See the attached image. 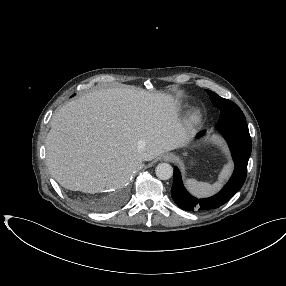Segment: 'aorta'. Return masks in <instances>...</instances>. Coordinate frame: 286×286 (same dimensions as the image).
I'll use <instances>...</instances> for the list:
<instances>
[{
	"instance_id": "1",
	"label": "aorta",
	"mask_w": 286,
	"mask_h": 286,
	"mask_svg": "<svg viewBox=\"0 0 286 286\" xmlns=\"http://www.w3.org/2000/svg\"><path fill=\"white\" fill-rule=\"evenodd\" d=\"M156 176L161 180H168L173 175V168L168 163H159L155 169Z\"/></svg>"
}]
</instances>
